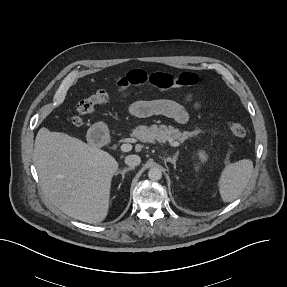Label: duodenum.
Returning a JSON list of instances; mask_svg holds the SVG:
<instances>
[{
    "mask_svg": "<svg viewBox=\"0 0 287 287\" xmlns=\"http://www.w3.org/2000/svg\"><path fill=\"white\" fill-rule=\"evenodd\" d=\"M90 142L93 144H108L110 137L108 132L102 126H97L90 134Z\"/></svg>",
    "mask_w": 287,
    "mask_h": 287,
    "instance_id": "1",
    "label": "duodenum"
}]
</instances>
